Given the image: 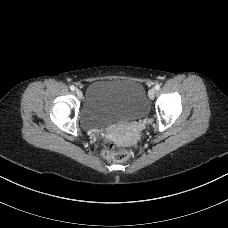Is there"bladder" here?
<instances>
[{"mask_svg":"<svg viewBox=\"0 0 228 228\" xmlns=\"http://www.w3.org/2000/svg\"><path fill=\"white\" fill-rule=\"evenodd\" d=\"M148 103L143 85L134 80H98L86 90L81 123L86 129H105L144 118Z\"/></svg>","mask_w":228,"mask_h":228,"instance_id":"1","label":"bladder"}]
</instances>
